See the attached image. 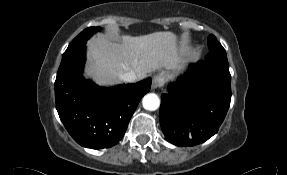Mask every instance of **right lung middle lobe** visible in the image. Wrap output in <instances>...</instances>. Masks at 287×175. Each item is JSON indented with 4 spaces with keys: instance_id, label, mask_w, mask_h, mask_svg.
I'll return each mask as SVG.
<instances>
[{
    "instance_id": "dd1d6c3e",
    "label": "right lung middle lobe",
    "mask_w": 287,
    "mask_h": 175,
    "mask_svg": "<svg viewBox=\"0 0 287 175\" xmlns=\"http://www.w3.org/2000/svg\"><path fill=\"white\" fill-rule=\"evenodd\" d=\"M100 30V27H89L82 31L78 36H76L73 41L69 44L68 48H72L73 46L82 43L84 39H89L94 33Z\"/></svg>"
}]
</instances>
